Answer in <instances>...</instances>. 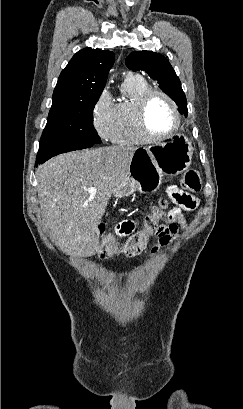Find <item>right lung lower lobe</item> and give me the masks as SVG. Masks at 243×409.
<instances>
[{
    "instance_id": "1",
    "label": "right lung lower lobe",
    "mask_w": 243,
    "mask_h": 409,
    "mask_svg": "<svg viewBox=\"0 0 243 409\" xmlns=\"http://www.w3.org/2000/svg\"><path fill=\"white\" fill-rule=\"evenodd\" d=\"M94 144H71V145H49L42 144L39 147L37 154L36 166L42 164L53 156L61 153L80 150L88 147H92Z\"/></svg>"
}]
</instances>
